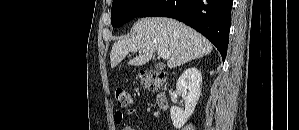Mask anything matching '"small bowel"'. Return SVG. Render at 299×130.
I'll list each match as a JSON object with an SVG mask.
<instances>
[{"instance_id":"1","label":"small bowel","mask_w":299,"mask_h":130,"mask_svg":"<svg viewBox=\"0 0 299 130\" xmlns=\"http://www.w3.org/2000/svg\"><path fill=\"white\" fill-rule=\"evenodd\" d=\"M136 113L137 112H136L135 109H130L127 112L128 115H136ZM123 119H124V113L122 111L115 112L114 121H115L116 124L122 123ZM121 130H136V129L133 128L132 126H125Z\"/></svg>"}]
</instances>
